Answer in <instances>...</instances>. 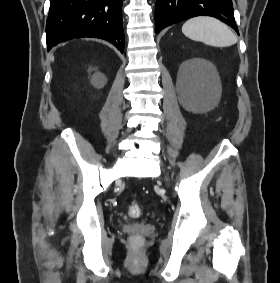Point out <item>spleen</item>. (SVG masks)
<instances>
[{"mask_svg": "<svg viewBox=\"0 0 280 283\" xmlns=\"http://www.w3.org/2000/svg\"><path fill=\"white\" fill-rule=\"evenodd\" d=\"M183 34L214 47H229L237 42L235 34L221 21L213 17L199 16L187 20L182 26Z\"/></svg>", "mask_w": 280, "mask_h": 283, "instance_id": "spleen-1", "label": "spleen"}]
</instances>
